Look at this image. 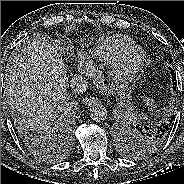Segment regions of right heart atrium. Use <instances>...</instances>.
Here are the masks:
<instances>
[{
	"instance_id": "right-heart-atrium-1",
	"label": "right heart atrium",
	"mask_w": 184,
	"mask_h": 184,
	"mask_svg": "<svg viewBox=\"0 0 184 184\" xmlns=\"http://www.w3.org/2000/svg\"><path fill=\"white\" fill-rule=\"evenodd\" d=\"M79 63L80 65L85 69L88 70L91 67V62L84 56L79 57Z\"/></svg>"
}]
</instances>
